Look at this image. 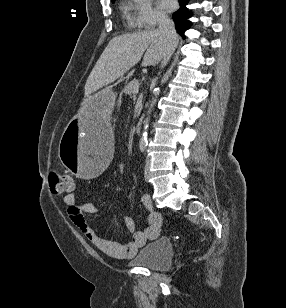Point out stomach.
<instances>
[{
  "label": "stomach",
  "instance_id": "0dacf381",
  "mask_svg": "<svg viewBox=\"0 0 286 308\" xmlns=\"http://www.w3.org/2000/svg\"><path fill=\"white\" fill-rule=\"evenodd\" d=\"M115 99L109 89L93 95L89 107H81L80 117L68 118L66 130L56 142L61 164L79 177H96L114 159L110 137L114 126L108 124Z\"/></svg>",
  "mask_w": 286,
  "mask_h": 308
}]
</instances>
